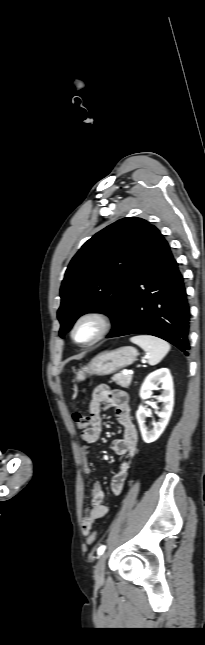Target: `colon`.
Here are the masks:
<instances>
[{
    "label": "colon",
    "mask_w": 205,
    "mask_h": 645,
    "mask_svg": "<svg viewBox=\"0 0 205 645\" xmlns=\"http://www.w3.org/2000/svg\"><path fill=\"white\" fill-rule=\"evenodd\" d=\"M73 420L78 430H80L83 434L88 430L90 426L91 417H90V414H86L83 412H75L73 414ZM96 537H97L96 531L90 532L87 537V544L89 546L94 545L96 541Z\"/></svg>",
    "instance_id": "1"
}]
</instances>
